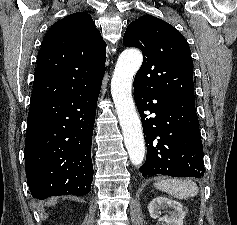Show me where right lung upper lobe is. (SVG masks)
<instances>
[{
  "label": "right lung upper lobe",
  "instance_id": "obj_1",
  "mask_svg": "<svg viewBox=\"0 0 237 225\" xmlns=\"http://www.w3.org/2000/svg\"><path fill=\"white\" fill-rule=\"evenodd\" d=\"M105 42L92 17L68 15L45 34L37 57L31 102L61 98L103 79Z\"/></svg>",
  "mask_w": 237,
  "mask_h": 225
}]
</instances>
